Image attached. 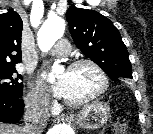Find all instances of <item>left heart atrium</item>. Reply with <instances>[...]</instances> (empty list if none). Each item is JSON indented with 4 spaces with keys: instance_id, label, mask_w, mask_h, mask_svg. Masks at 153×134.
I'll return each mask as SVG.
<instances>
[{
    "instance_id": "obj_1",
    "label": "left heart atrium",
    "mask_w": 153,
    "mask_h": 134,
    "mask_svg": "<svg viewBox=\"0 0 153 134\" xmlns=\"http://www.w3.org/2000/svg\"><path fill=\"white\" fill-rule=\"evenodd\" d=\"M45 77L43 76V79ZM52 90L56 96L62 97L65 93V83L63 79H59L52 87Z\"/></svg>"
}]
</instances>
